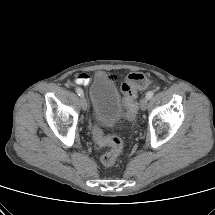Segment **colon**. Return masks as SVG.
I'll return each mask as SVG.
<instances>
[{"label":"colon","instance_id":"1","mask_svg":"<svg viewBox=\"0 0 215 215\" xmlns=\"http://www.w3.org/2000/svg\"><path fill=\"white\" fill-rule=\"evenodd\" d=\"M149 79L142 73H132L122 84L123 102L126 108V118L132 120L138 111L137 93L149 85ZM93 136L98 145L108 147V151L101 157V163L105 167H111L123 148L121 138L113 135H105L99 127L93 129Z\"/></svg>","mask_w":215,"mask_h":215}]
</instances>
